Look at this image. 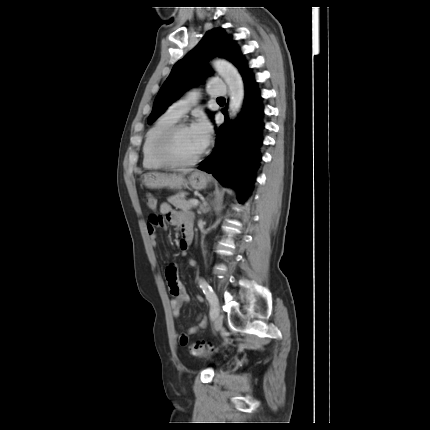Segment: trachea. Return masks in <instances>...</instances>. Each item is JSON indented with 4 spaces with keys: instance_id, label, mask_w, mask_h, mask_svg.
<instances>
[{
    "instance_id": "1",
    "label": "trachea",
    "mask_w": 430,
    "mask_h": 430,
    "mask_svg": "<svg viewBox=\"0 0 430 430\" xmlns=\"http://www.w3.org/2000/svg\"><path fill=\"white\" fill-rule=\"evenodd\" d=\"M218 99H220V100H221V99H224V98H223V97H219Z\"/></svg>"
}]
</instances>
